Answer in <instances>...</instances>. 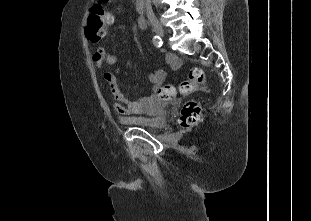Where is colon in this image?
<instances>
[{"instance_id":"obj_1","label":"colon","mask_w":311,"mask_h":221,"mask_svg":"<svg viewBox=\"0 0 311 221\" xmlns=\"http://www.w3.org/2000/svg\"><path fill=\"white\" fill-rule=\"evenodd\" d=\"M107 0H99L95 4L89 14L91 21L86 27V39L97 41L104 36L107 29L111 25L112 15L111 12L104 7ZM102 29V35L100 31ZM205 82V73L202 68L192 67L188 71V76L184 78L177 88L168 85L165 88H159L157 92V99H170L176 92L183 95H189L201 89ZM202 121V110L199 104L194 101L185 102L179 117L181 126L185 129L192 128Z\"/></svg>"}]
</instances>
